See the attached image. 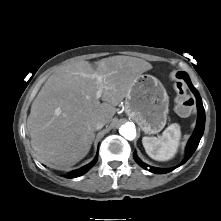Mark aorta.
I'll use <instances>...</instances> for the list:
<instances>
[{
  "mask_svg": "<svg viewBox=\"0 0 221 221\" xmlns=\"http://www.w3.org/2000/svg\"><path fill=\"white\" fill-rule=\"evenodd\" d=\"M119 132L127 140H133L136 137L135 125L132 122L122 125Z\"/></svg>",
  "mask_w": 221,
  "mask_h": 221,
  "instance_id": "aorta-1",
  "label": "aorta"
}]
</instances>
